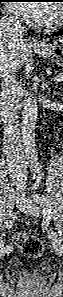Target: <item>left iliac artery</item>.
I'll use <instances>...</instances> for the list:
<instances>
[{"label":"left iliac artery","mask_w":63,"mask_h":297,"mask_svg":"<svg viewBox=\"0 0 63 297\" xmlns=\"http://www.w3.org/2000/svg\"><path fill=\"white\" fill-rule=\"evenodd\" d=\"M33 200L37 204L41 205V207L43 208V213L45 214L46 217L50 219L52 217V211H51L50 202L47 199V197H45L44 195L35 194L33 195Z\"/></svg>","instance_id":"obj_1"}]
</instances>
